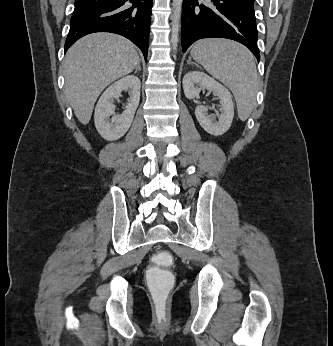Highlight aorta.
<instances>
[{
	"mask_svg": "<svg viewBox=\"0 0 333 346\" xmlns=\"http://www.w3.org/2000/svg\"><path fill=\"white\" fill-rule=\"evenodd\" d=\"M182 2L183 0H173L172 1V33H171V44L173 48V52L175 53L177 51V45H178V32L180 27V17H181V10H182Z\"/></svg>",
	"mask_w": 333,
	"mask_h": 346,
	"instance_id": "1",
	"label": "aorta"
}]
</instances>
